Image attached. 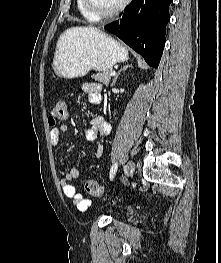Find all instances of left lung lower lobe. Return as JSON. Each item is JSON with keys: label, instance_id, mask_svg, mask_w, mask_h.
I'll use <instances>...</instances> for the list:
<instances>
[{"label": "left lung lower lobe", "instance_id": "0a47b994", "mask_svg": "<svg viewBox=\"0 0 221 263\" xmlns=\"http://www.w3.org/2000/svg\"><path fill=\"white\" fill-rule=\"evenodd\" d=\"M172 0H132L121 13L119 20L104 26L133 50L148 65H159L165 45L166 25L169 22V5Z\"/></svg>", "mask_w": 221, "mask_h": 263}]
</instances>
